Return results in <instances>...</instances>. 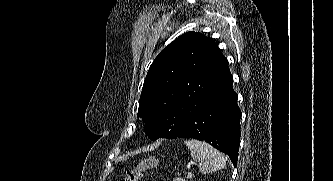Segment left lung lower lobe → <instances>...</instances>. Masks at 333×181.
I'll use <instances>...</instances> for the list:
<instances>
[{
  "label": "left lung lower lobe",
  "instance_id": "1",
  "mask_svg": "<svg viewBox=\"0 0 333 181\" xmlns=\"http://www.w3.org/2000/svg\"><path fill=\"white\" fill-rule=\"evenodd\" d=\"M230 71L214 86L205 103L189 116L172 120L174 134L160 138H194L206 141L227 154L236 166L241 111Z\"/></svg>",
  "mask_w": 333,
  "mask_h": 181
}]
</instances>
